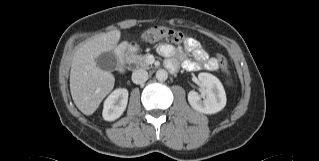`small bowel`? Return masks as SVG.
Masks as SVG:
<instances>
[{"label":"small bowel","instance_id":"obj_1","mask_svg":"<svg viewBox=\"0 0 319 161\" xmlns=\"http://www.w3.org/2000/svg\"><path fill=\"white\" fill-rule=\"evenodd\" d=\"M187 52H191L195 60L187 59ZM177 52L179 60L183 62V67L188 71H196L199 69L213 70L210 68V63L213 59H209L208 53L202 48L200 43L195 39H188L184 48L180 47L177 50L171 44H161L158 47V53L164 57H172ZM167 67L171 70H175L178 67L176 60L169 59L167 61Z\"/></svg>","mask_w":319,"mask_h":161}]
</instances>
